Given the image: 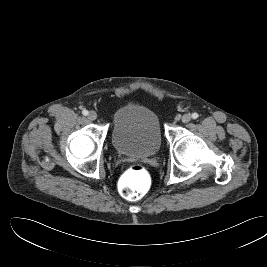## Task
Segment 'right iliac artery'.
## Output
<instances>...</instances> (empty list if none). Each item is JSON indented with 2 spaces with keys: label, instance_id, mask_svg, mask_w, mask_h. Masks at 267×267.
<instances>
[{
  "label": "right iliac artery",
  "instance_id": "right-iliac-artery-1",
  "mask_svg": "<svg viewBox=\"0 0 267 267\" xmlns=\"http://www.w3.org/2000/svg\"><path fill=\"white\" fill-rule=\"evenodd\" d=\"M88 110H86V109H84L83 111H82V114L84 115V116H87L88 115Z\"/></svg>",
  "mask_w": 267,
  "mask_h": 267
}]
</instances>
